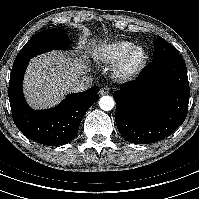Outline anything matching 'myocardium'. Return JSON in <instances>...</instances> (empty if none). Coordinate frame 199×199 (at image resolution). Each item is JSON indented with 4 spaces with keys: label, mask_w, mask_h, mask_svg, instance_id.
I'll return each mask as SVG.
<instances>
[{
    "label": "myocardium",
    "mask_w": 199,
    "mask_h": 199,
    "mask_svg": "<svg viewBox=\"0 0 199 199\" xmlns=\"http://www.w3.org/2000/svg\"><path fill=\"white\" fill-rule=\"evenodd\" d=\"M137 52L140 53V58L134 65H131V58ZM147 58V52L144 47L139 45L132 46L114 65L113 77L120 82L132 80L143 70L146 65Z\"/></svg>",
    "instance_id": "1"
}]
</instances>
